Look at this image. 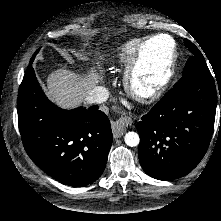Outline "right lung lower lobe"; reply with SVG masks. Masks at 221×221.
Here are the masks:
<instances>
[{
  "instance_id": "obj_1",
  "label": "right lung lower lobe",
  "mask_w": 221,
  "mask_h": 221,
  "mask_svg": "<svg viewBox=\"0 0 221 221\" xmlns=\"http://www.w3.org/2000/svg\"><path fill=\"white\" fill-rule=\"evenodd\" d=\"M17 105L24 148L45 173L73 187L91 184L101 176L113 136L110 121L98 106L58 108L44 95L31 65Z\"/></svg>"
}]
</instances>
